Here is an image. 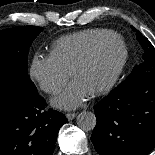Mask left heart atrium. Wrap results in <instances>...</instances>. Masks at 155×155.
<instances>
[{"mask_svg": "<svg viewBox=\"0 0 155 155\" xmlns=\"http://www.w3.org/2000/svg\"><path fill=\"white\" fill-rule=\"evenodd\" d=\"M91 93L78 81H73L58 97L52 99L55 107L74 109L80 106Z\"/></svg>", "mask_w": 155, "mask_h": 155, "instance_id": "39dd6f15", "label": "left heart atrium"}]
</instances>
